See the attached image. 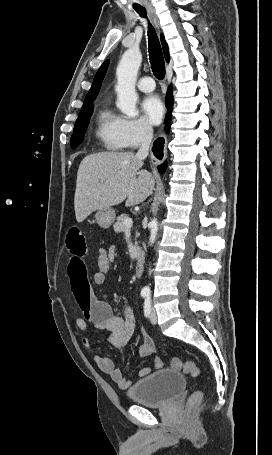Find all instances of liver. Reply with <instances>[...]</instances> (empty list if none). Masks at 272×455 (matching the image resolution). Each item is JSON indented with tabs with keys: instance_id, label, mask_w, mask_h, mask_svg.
<instances>
[{
	"instance_id": "6515ba94",
	"label": "liver",
	"mask_w": 272,
	"mask_h": 455,
	"mask_svg": "<svg viewBox=\"0 0 272 455\" xmlns=\"http://www.w3.org/2000/svg\"><path fill=\"white\" fill-rule=\"evenodd\" d=\"M142 166V159L131 152L86 156L77 173L74 197L77 222H83L96 210L125 200L126 207L143 202L152 193L155 180L149 172L140 170Z\"/></svg>"
}]
</instances>
